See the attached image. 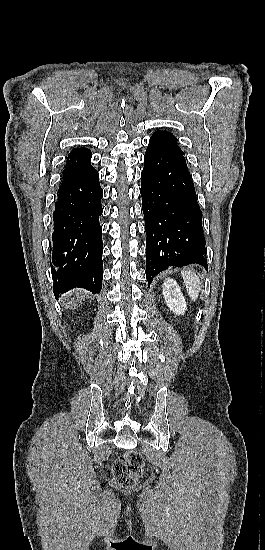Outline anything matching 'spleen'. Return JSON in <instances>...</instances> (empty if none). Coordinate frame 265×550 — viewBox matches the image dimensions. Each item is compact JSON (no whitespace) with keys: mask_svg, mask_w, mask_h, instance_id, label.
I'll return each mask as SVG.
<instances>
[{"mask_svg":"<svg viewBox=\"0 0 265 550\" xmlns=\"http://www.w3.org/2000/svg\"><path fill=\"white\" fill-rule=\"evenodd\" d=\"M181 274L190 298L195 301L200 291L199 277L196 274H192L190 271H182Z\"/></svg>","mask_w":265,"mask_h":550,"instance_id":"obj_1","label":"spleen"}]
</instances>
